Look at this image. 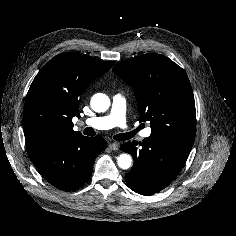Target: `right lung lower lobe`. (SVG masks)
Instances as JSON below:
<instances>
[{
    "label": "right lung lower lobe",
    "mask_w": 236,
    "mask_h": 236,
    "mask_svg": "<svg viewBox=\"0 0 236 236\" xmlns=\"http://www.w3.org/2000/svg\"><path fill=\"white\" fill-rule=\"evenodd\" d=\"M106 146L100 136H71L29 157L50 184L68 192L90 178L94 159Z\"/></svg>",
    "instance_id": "right-lung-lower-lobe-1"
}]
</instances>
